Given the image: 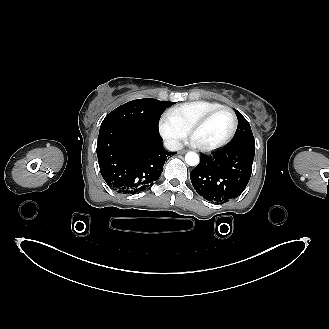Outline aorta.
Returning <instances> with one entry per match:
<instances>
[{
    "instance_id": "1",
    "label": "aorta",
    "mask_w": 329,
    "mask_h": 329,
    "mask_svg": "<svg viewBox=\"0 0 329 329\" xmlns=\"http://www.w3.org/2000/svg\"><path fill=\"white\" fill-rule=\"evenodd\" d=\"M185 161L190 166H197L199 164V155L190 151L185 155Z\"/></svg>"
}]
</instances>
